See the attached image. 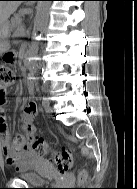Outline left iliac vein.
I'll list each match as a JSON object with an SVG mask.
<instances>
[{"label":"left iliac vein","mask_w":137,"mask_h":189,"mask_svg":"<svg viewBox=\"0 0 137 189\" xmlns=\"http://www.w3.org/2000/svg\"><path fill=\"white\" fill-rule=\"evenodd\" d=\"M45 112L50 115L53 112V108L49 104H45Z\"/></svg>","instance_id":"obj_1"}]
</instances>
